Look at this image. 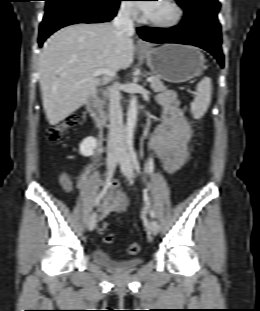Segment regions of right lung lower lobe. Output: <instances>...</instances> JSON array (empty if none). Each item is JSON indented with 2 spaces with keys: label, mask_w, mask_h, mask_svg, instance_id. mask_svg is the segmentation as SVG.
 I'll list each match as a JSON object with an SVG mask.
<instances>
[{
  "label": "right lung lower lobe",
  "mask_w": 260,
  "mask_h": 311,
  "mask_svg": "<svg viewBox=\"0 0 260 311\" xmlns=\"http://www.w3.org/2000/svg\"><path fill=\"white\" fill-rule=\"evenodd\" d=\"M46 13L39 30V46L56 30L76 23L110 21L117 13L119 1L101 0H45Z\"/></svg>",
  "instance_id": "right-lung-lower-lobe-1"
}]
</instances>
